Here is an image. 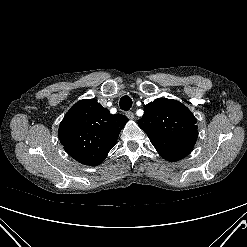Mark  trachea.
Here are the masks:
<instances>
[{
    "mask_svg": "<svg viewBox=\"0 0 247 247\" xmlns=\"http://www.w3.org/2000/svg\"><path fill=\"white\" fill-rule=\"evenodd\" d=\"M132 106V99L125 95L120 99V108L124 111H128Z\"/></svg>",
    "mask_w": 247,
    "mask_h": 247,
    "instance_id": "obj_1",
    "label": "trachea"
}]
</instances>
